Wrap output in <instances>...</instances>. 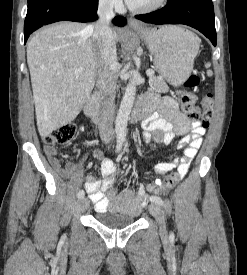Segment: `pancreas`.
I'll use <instances>...</instances> for the list:
<instances>
[{"label":"pancreas","mask_w":247,"mask_h":275,"mask_svg":"<svg viewBox=\"0 0 247 275\" xmlns=\"http://www.w3.org/2000/svg\"><path fill=\"white\" fill-rule=\"evenodd\" d=\"M149 85H150V88H149L150 91L166 93L169 90V87L167 86V84L160 77H154V76L150 77Z\"/></svg>","instance_id":"obj_1"}]
</instances>
